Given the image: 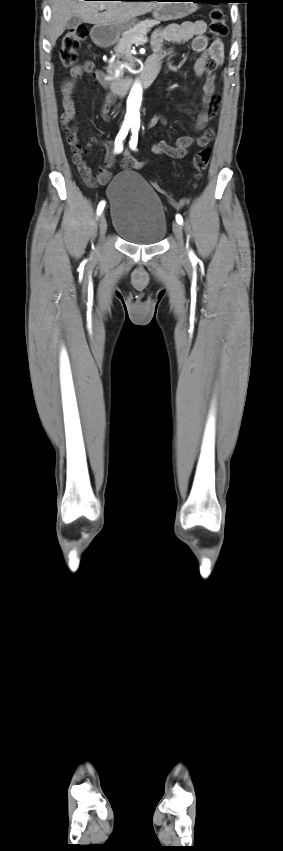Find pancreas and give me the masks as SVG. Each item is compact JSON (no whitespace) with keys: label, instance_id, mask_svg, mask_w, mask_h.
Here are the masks:
<instances>
[{"label":"pancreas","instance_id":"obj_1","mask_svg":"<svg viewBox=\"0 0 283 851\" xmlns=\"http://www.w3.org/2000/svg\"><path fill=\"white\" fill-rule=\"evenodd\" d=\"M157 24H158V22L155 21V20H145V21H142V22L136 24L131 30H129L128 32L123 34L122 38L119 40V42L117 43V45L114 48V51L116 53V57L117 58L124 57L127 54L130 47L135 43H139V44L145 43L144 41H141V39H148L147 33L150 31V29L154 25H157ZM121 64H122V62L117 59L116 61H114L113 63H111L109 65L107 72L109 74H113L114 71L119 70L120 71L119 76H121V74L124 71V69H120Z\"/></svg>","mask_w":283,"mask_h":851}]
</instances>
